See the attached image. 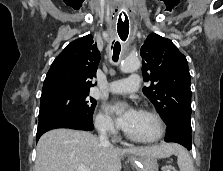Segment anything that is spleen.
I'll use <instances>...</instances> for the list:
<instances>
[{
    "mask_svg": "<svg viewBox=\"0 0 223 171\" xmlns=\"http://www.w3.org/2000/svg\"><path fill=\"white\" fill-rule=\"evenodd\" d=\"M174 153L177 155V162L180 171H194L192 158L184 148L175 145Z\"/></svg>",
    "mask_w": 223,
    "mask_h": 171,
    "instance_id": "3e777b00",
    "label": "spleen"
}]
</instances>
